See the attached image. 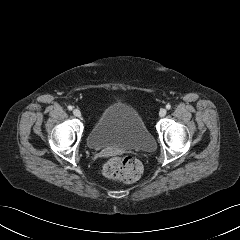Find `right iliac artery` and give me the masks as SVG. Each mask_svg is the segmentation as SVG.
I'll list each match as a JSON object with an SVG mask.
<instances>
[{
    "label": "right iliac artery",
    "mask_w": 240,
    "mask_h": 240,
    "mask_svg": "<svg viewBox=\"0 0 240 240\" xmlns=\"http://www.w3.org/2000/svg\"><path fill=\"white\" fill-rule=\"evenodd\" d=\"M67 108H68V110H70V111L73 109V107H72L71 105L68 106Z\"/></svg>",
    "instance_id": "obj_1"
}]
</instances>
